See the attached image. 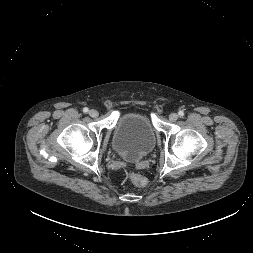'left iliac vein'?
<instances>
[{
  "instance_id": "obj_1",
  "label": "left iliac vein",
  "mask_w": 253,
  "mask_h": 253,
  "mask_svg": "<svg viewBox=\"0 0 253 253\" xmlns=\"http://www.w3.org/2000/svg\"><path fill=\"white\" fill-rule=\"evenodd\" d=\"M177 119H178V115H177L176 113H171V114L169 115V120H170L171 122H175Z\"/></svg>"
}]
</instances>
